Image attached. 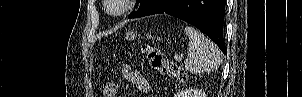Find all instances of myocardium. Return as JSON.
Here are the masks:
<instances>
[{
	"label": "myocardium",
	"mask_w": 302,
	"mask_h": 97,
	"mask_svg": "<svg viewBox=\"0 0 302 97\" xmlns=\"http://www.w3.org/2000/svg\"><path fill=\"white\" fill-rule=\"evenodd\" d=\"M116 2L121 5V8L113 11L112 6ZM135 2L136 0H105V11L113 17L125 16L133 10Z\"/></svg>",
	"instance_id": "1"
}]
</instances>
